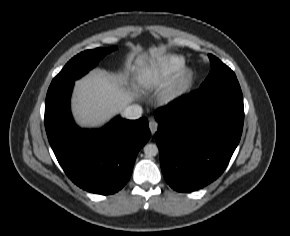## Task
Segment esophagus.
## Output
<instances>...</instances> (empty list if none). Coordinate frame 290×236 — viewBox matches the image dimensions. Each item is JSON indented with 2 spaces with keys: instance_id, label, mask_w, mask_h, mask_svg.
Segmentation results:
<instances>
[{
  "instance_id": "34e87169",
  "label": "esophagus",
  "mask_w": 290,
  "mask_h": 236,
  "mask_svg": "<svg viewBox=\"0 0 290 236\" xmlns=\"http://www.w3.org/2000/svg\"><path fill=\"white\" fill-rule=\"evenodd\" d=\"M158 128V123L155 120H150L149 121V129L152 134H154L157 131Z\"/></svg>"
}]
</instances>
